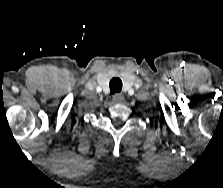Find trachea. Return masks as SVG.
Returning a JSON list of instances; mask_svg holds the SVG:
<instances>
[{
	"instance_id": "1",
	"label": "trachea",
	"mask_w": 223,
	"mask_h": 188,
	"mask_svg": "<svg viewBox=\"0 0 223 188\" xmlns=\"http://www.w3.org/2000/svg\"><path fill=\"white\" fill-rule=\"evenodd\" d=\"M109 87L111 94L119 93L122 90V81L119 78H113L109 83Z\"/></svg>"
}]
</instances>
